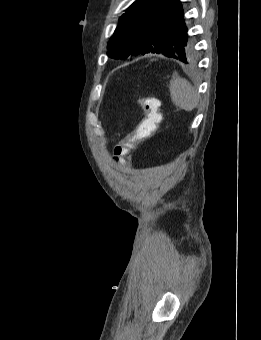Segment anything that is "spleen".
<instances>
[{"label": "spleen", "instance_id": "spleen-1", "mask_svg": "<svg viewBox=\"0 0 261 340\" xmlns=\"http://www.w3.org/2000/svg\"><path fill=\"white\" fill-rule=\"evenodd\" d=\"M169 91L173 104L185 111H192L199 104V95L184 78L174 76L170 81Z\"/></svg>", "mask_w": 261, "mask_h": 340}]
</instances>
